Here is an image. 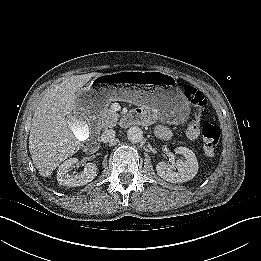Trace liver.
I'll return each mask as SVG.
<instances>
[{"instance_id": "6515ba94", "label": "liver", "mask_w": 261, "mask_h": 261, "mask_svg": "<svg viewBox=\"0 0 261 261\" xmlns=\"http://www.w3.org/2000/svg\"><path fill=\"white\" fill-rule=\"evenodd\" d=\"M92 72L73 75L59 84L51 85L35 109L29 136V151L38 172L48 177L59 164L81 147L66 117L76 113V92L93 77Z\"/></svg>"}]
</instances>
